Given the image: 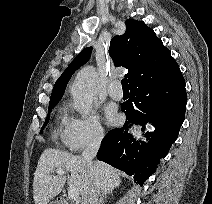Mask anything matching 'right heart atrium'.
<instances>
[{
    "instance_id": "obj_1",
    "label": "right heart atrium",
    "mask_w": 212,
    "mask_h": 204,
    "mask_svg": "<svg viewBox=\"0 0 212 204\" xmlns=\"http://www.w3.org/2000/svg\"><path fill=\"white\" fill-rule=\"evenodd\" d=\"M105 136L99 117L92 113L85 116H70L67 119L64 134L66 147L73 152L99 144Z\"/></svg>"
}]
</instances>
